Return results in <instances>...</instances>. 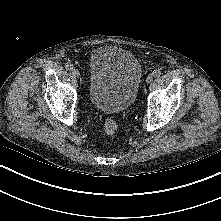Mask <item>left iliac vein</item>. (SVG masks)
Here are the masks:
<instances>
[{
    "instance_id": "1",
    "label": "left iliac vein",
    "mask_w": 221,
    "mask_h": 221,
    "mask_svg": "<svg viewBox=\"0 0 221 221\" xmlns=\"http://www.w3.org/2000/svg\"><path fill=\"white\" fill-rule=\"evenodd\" d=\"M152 81H153V76H152V75H148V76L146 77V83L149 84V83H151Z\"/></svg>"
}]
</instances>
